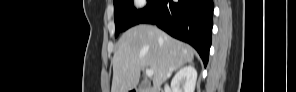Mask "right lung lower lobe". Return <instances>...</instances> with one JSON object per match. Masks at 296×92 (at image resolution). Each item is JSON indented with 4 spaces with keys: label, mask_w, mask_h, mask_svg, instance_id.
<instances>
[{
    "label": "right lung lower lobe",
    "mask_w": 296,
    "mask_h": 92,
    "mask_svg": "<svg viewBox=\"0 0 296 92\" xmlns=\"http://www.w3.org/2000/svg\"><path fill=\"white\" fill-rule=\"evenodd\" d=\"M212 0H159L140 23L156 24L171 36L191 44L206 66L211 46Z\"/></svg>",
    "instance_id": "right-lung-lower-lobe-1"
}]
</instances>
